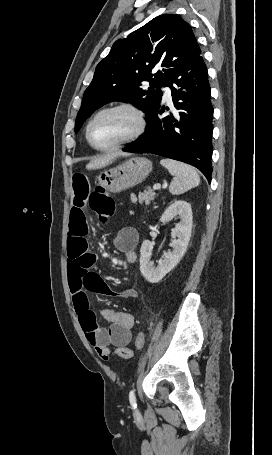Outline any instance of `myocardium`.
I'll return each mask as SVG.
<instances>
[{"mask_svg": "<svg viewBox=\"0 0 272 455\" xmlns=\"http://www.w3.org/2000/svg\"><path fill=\"white\" fill-rule=\"evenodd\" d=\"M124 110L131 113L135 119L136 126L133 132L128 135L127 137L123 138L122 140L118 141L112 146L109 147H98L96 146L92 139H91V128L94 122L100 117L102 114L112 111H119ZM147 126L146 116L142 109L130 102H117L110 105H107L101 109H99L89 120L87 127H86V139L89 145L96 151L99 152H111L118 150L128 144H131L137 141L145 132Z\"/></svg>", "mask_w": 272, "mask_h": 455, "instance_id": "f54148a6", "label": "myocardium"}]
</instances>
